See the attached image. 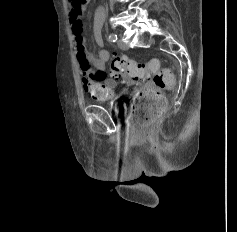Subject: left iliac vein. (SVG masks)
I'll return each instance as SVG.
<instances>
[{
  "label": "left iliac vein",
  "mask_w": 237,
  "mask_h": 232,
  "mask_svg": "<svg viewBox=\"0 0 237 232\" xmlns=\"http://www.w3.org/2000/svg\"><path fill=\"white\" fill-rule=\"evenodd\" d=\"M118 47H119L121 50H127V49H128L127 44H125L122 40H118Z\"/></svg>",
  "instance_id": "left-iliac-vein-1"
}]
</instances>
